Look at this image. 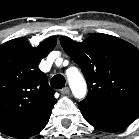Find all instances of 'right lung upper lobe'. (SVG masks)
Wrapping results in <instances>:
<instances>
[{
    "label": "right lung upper lobe",
    "mask_w": 139,
    "mask_h": 139,
    "mask_svg": "<svg viewBox=\"0 0 139 139\" xmlns=\"http://www.w3.org/2000/svg\"><path fill=\"white\" fill-rule=\"evenodd\" d=\"M48 38L32 47L17 38L0 45V131L14 136L51 114L56 99L38 65L55 47Z\"/></svg>",
    "instance_id": "cb5924a9"
}]
</instances>
